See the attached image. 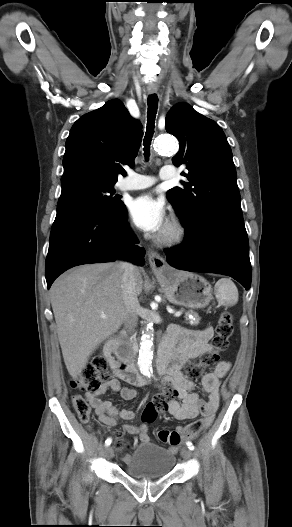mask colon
Listing matches in <instances>:
<instances>
[{"instance_id":"5ec220e1","label":"colon","mask_w":292,"mask_h":527,"mask_svg":"<svg viewBox=\"0 0 292 527\" xmlns=\"http://www.w3.org/2000/svg\"><path fill=\"white\" fill-rule=\"evenodd\" d=\"M233 329L232 314L229 311L222 312L217 321L215 334L211 341L212 349L204 353L198 363L188 365L186 369L187 379L190 381L196 380L206 370L214 368L219 363L220 353L228 348ZM108 379L107 361L102 357H98L92 362L86 364L81 370V373L74 377L70 384L74 389L95 392L103 383L108 381ZM172 396L173 394L169 389L157 394L152 401L146 405L142 414L143 421L148 423L153 422L157 416L166 409L167 401ZM72 403L78 418L82 422L88 423L91 419V408L88 401L82 395L77 394L72 397ZM115 436L116 447L118 449H123L125 447V442L121 438V434L115 432Z\"/></svg>"}]
</instances>
